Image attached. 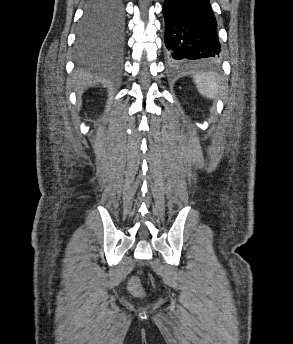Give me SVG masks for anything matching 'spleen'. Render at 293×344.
<instances>
[{
	"label": "spleen",
	"instance_id": "obj_1",
	"mask_svg": "<svg viewBox=\"0 0 293 344\" xmlns=\"http://www.w3.org/2000/svg\"><path fill=\"white\" fill-rule=\"evenodd\" d=\"M194 82L198 91L207 98H216L219 89L220 81L218 77L212 73H200L195 76Z\"/></svg>",
	"mask_w": 293,
	"mask_h": 344
}]
</instances>
